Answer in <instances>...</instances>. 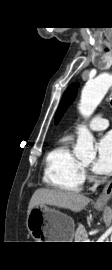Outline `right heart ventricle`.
Segmentation results:
<instances>
[{"label": "right heart ventricle", "mask_w": 112, "mask_h": 270, "mask_svg": "<svg viewBox=\"0 0 112 270\" xmlns=\"http://www.w3.org/2000/svg\"><path fill=\"white\" fill-rule=\"evenodd\" d=\"M70 137L62 138L45 157L44 183L56 190L78 193L84 183L81 162L70 148Z\"/></svg>", "instance_id": "obj_1"}]
</instances>
